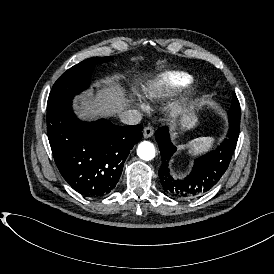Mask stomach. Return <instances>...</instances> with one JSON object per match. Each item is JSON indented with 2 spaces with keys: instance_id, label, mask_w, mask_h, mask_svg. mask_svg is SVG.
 <instances>
[{
  "instance_id": "obj_1",
  "label": "stomach",
  "mask_w": 274,
  "mask_h": 274,
  "mask_svg": "<svg viewBox=\"0 0 274 274\" xmlns=\"http://www.w3.org/2000/svg\"><path fill=\"white\" fill-rule=\"evenodd\" d=\"M185 122H186V125H187L188 127H192V126L194 125V123H195V118H194L193 116H189V117L185 120Z\"/></svg>"
}]
</instances>
